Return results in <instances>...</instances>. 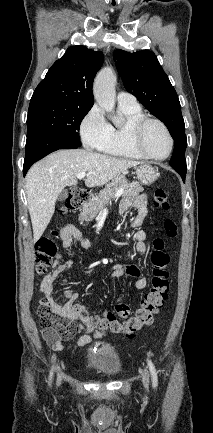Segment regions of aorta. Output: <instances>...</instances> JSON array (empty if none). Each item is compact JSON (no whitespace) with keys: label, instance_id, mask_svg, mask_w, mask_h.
I'll return each instance as SVG.
<instances>
[{"label":"aorta","instance_id":"762f6f07","mask_svg":"<svg viewBox=\"0 0 213 433\" xmlns=\"http://www.w3.org/2000/svg\"><path fill=\"white\" fill-rule=\"evenodd\" d=\"M116 75L111 68L101 70L94 81L93 93L98 105L107 112H111L115 106ZM113 122L117 123L116 119Z\"/></svg>","mask_w":213,"mask_h":433}]
</instances>
